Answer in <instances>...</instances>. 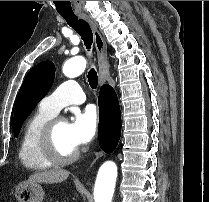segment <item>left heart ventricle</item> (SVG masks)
<instances>
[{"label": "left heart ventricle", "instance_id": "left-heart-ventricle-1", "mask_svg": "<svg viewBox=\"0 0 209 202\" xmlns=\"http://www.w3.org/2000/svg\"><path fill=\"white\" fill-rule=\"evenodd\" d=\"M55 143L58 150L64 155H68L77 149L69 139L67 123L65 121H61L56 127Z\"/></svg>", "mask_w": 209, "mask_h": 202}]
</instances>
